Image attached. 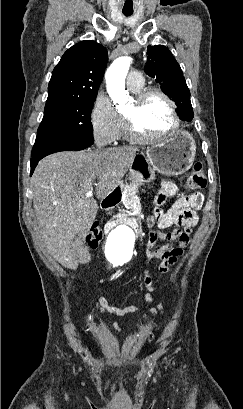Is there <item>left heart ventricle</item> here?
Wrapping results in <instances>:
<instances>
[{
    "label": "left heart ventricle",
    "mask_w": 243,
    "mask_h": 409,
    "mask_svg": "<svg viewBox=\"0 0 243 409\" xmlns=\"http://www.w3.org/2000/svg\"><path fill=\"white\" fill-rule=\"evenodd\" d=\"M124 114L134 118L138 129L147 135H157L170 128L171 114L167 103L159 96L149 97L140 107L134 101Z\"/></svg>",
    "instance_id": "b2bd125f"
}]
</instances>
